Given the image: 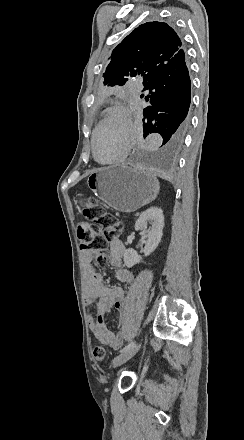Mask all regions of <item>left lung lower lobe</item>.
I'll return each instance as SVG.
<instances>
[{
    "label": "left lung lower lobe",
    "mask_w": 244,
    "mask_h": 440,
    "mask_svg": "<svg viewBox=\"0 0 244 440\" xmlns=\"http://www.w3.org/2000/svg\"><path fill=\"white\" fill-rule=\"evenodd\" d=\"M191 82L185 59L179 64L163 67L144 86L149 90L145 100L149 103L143 110L144 137L160 133L163 142L158 152L168 154L179 149L190 129L188 114ZM144 97V95H141Z\"/></svg>",
    "instance_id": "obj_1"
}]
</instances>
